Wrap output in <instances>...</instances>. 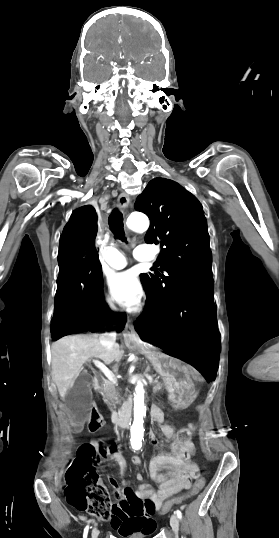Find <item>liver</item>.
Instances as JSON below:
<instances>
[{"mask_svg":"<svg viewBox=\"0 0 279 538\" xmlns=\"http://www.w3.org/2000/svg\"><path fill=\"white\" fill-rule=\"evenodd\" d=\"M119 346L106 350L97 336H65L51 346L52 378L61 398H65L67 390L72 388L78 378L83 364L89 358H100L110 364L119 354Z\"/></svg>","mask_w":279,"mask_h":538,"instance_id":"1","label":"liver"}]
</instances>
